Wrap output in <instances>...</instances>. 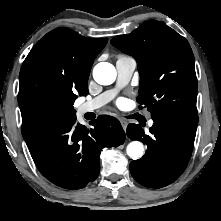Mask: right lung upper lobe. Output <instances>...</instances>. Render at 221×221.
<instances>
[{
  "instance_id": "cb5924a9",
  "label": "right lung upper lobe",
  "mask_w": 221,
  "mask_h": 221,
  "mask_svg": "<svg viewBox=\"0 0 221 221\" xmlns=\"http://www.w3.org/2000/svg\"><path fill=\"white\" fill-rule=\"evenodd\" d=\"M107 41V38H86L60 27L47 33L32 48L19 75L23 136L48 120L53 105L88 94L92 64Z\"/></svg>"
}]
</instances>
